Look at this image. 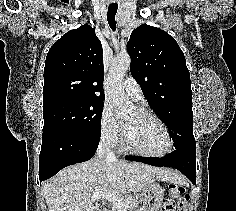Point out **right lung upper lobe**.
Segmentation results:
<instances>
[{"instance_id":"obj_1","label":"right lung upper lobe","mask_w":236,"mask_h":211,"mask_svg":"<svg viewBox=\"0 0 236 211\" xmlns=\"http://www.w3.org/2000/svg\"><path fill=\"white\" fill-rule=\"evenodd\" d=\"M102 45L85 24L64 34L49 50L44 68V105L59 99H104Z\"/></svg>"}]
</instances>
